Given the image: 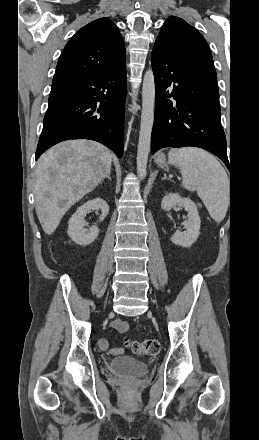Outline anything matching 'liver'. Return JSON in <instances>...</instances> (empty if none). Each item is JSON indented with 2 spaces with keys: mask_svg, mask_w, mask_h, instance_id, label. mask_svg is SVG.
<instances>
[{
  "mask_svg": "<svg viewBox=\"0 0 259 440\" xmlns=\"http://www.w3.org/2000/svg\"><path fill=\"white\" fill-rule=\"evenodd\" d=\"M112 159L111 150L86 139L61 142L40 157L35 170V208L47 235L53 234L65 213L105 178Z\"/></svg>",
  "mask_w": 259,
  "mask_h": 440,
  "instance_id": "liver-1",
  "label": "liver"
}]
</instances>
